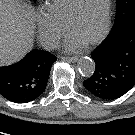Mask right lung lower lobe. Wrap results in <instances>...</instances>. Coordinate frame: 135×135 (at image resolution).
Returning <instances> with one entry per match:
<instances>
[{"instance_id": "98d812e1", "label": "right lung lower lobe", "mask_w": 135, "mask_h": 135, "mask_svg": "<svg viewBox=\"0 0 135 135\" xmlns=\"http://www.w3.org/2000/svg\"><path fill=\"white\" fill-rule=\"evenodd\" d=\"M56 57L42 50H32L21 61L0 67V94L15 103H27L43 94Z\"/></svg>"}]
</instances>
